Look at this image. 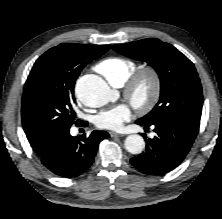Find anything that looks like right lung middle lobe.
Listing matches in <instances>:
<instances>
[{"label": "right lung middle lobe", "mask_w": 222, "mask_h": 219, "mask_svg": "<svg viewBox=\"0 0 222 219\" xmlns=\"http://www.w3.org/2000/svg\"><path fill=\"white\" fill-rule=\"evenodd\" d=\"M106 50L78 54L60 44L49 49L35 62L25 83L22 98L24 131L49 136L74 124V84L81 70Z\"/></svg>", "instance_id": "dd1d6c3e"}]
</instances>
